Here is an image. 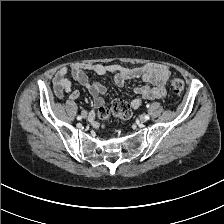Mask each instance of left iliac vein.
<instances>
[{"mask_svg": "<svg viewBox=\"0 0 224 224\" xmlns=\"http://www.w3.org/2000/svg\"><path fill=\"white\" fill-rule=\"evenodd\" d=\"M139 120H140L141 123H145L147 121L146 118H145V115L140 116Z\"/></svg>", "mask_w": 224, "mask_h": 224, "instance_id": "1", "label": "left iliac vein"}]
</instances>
